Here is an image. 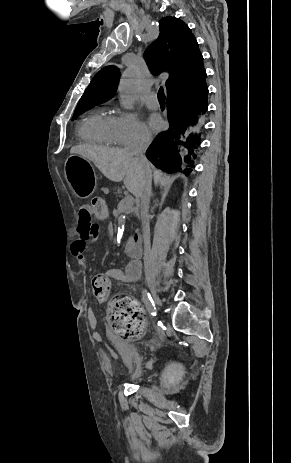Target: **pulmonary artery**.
<instances>
[{
  "mask_svg": "<svg viewBox=\"0 0 291 463\" xmlns=\"http://www.w3.org/2000/svg\"><path fill=\"white\" fill-rule=\"evenodd\" d=\"M145 102L149 108L156 109L159 107V101L157 98V94L154 92L147 95Z\"/></svg>",
  "mask_w": 291,
  "mask_h": 463,
  "instance_id": "pulmonary-artery-1",
  "label": "pulmonary artery"
}]
</instances>
